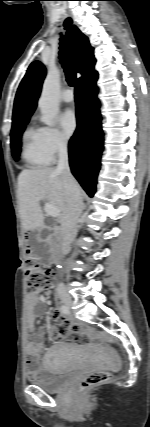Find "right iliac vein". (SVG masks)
<instances>
[{
    "mask_svg": "<svg viewBox=\"0 0 150 427\" xmlns=\"http://www.w3.org/2000/svg\"><path fill=\"white\" fill-rule=\"evenodd\" d=\"M59 297L66 307L70 308L72 306V298L66 291L59 292Z\"/></svg>",
    "mask_w": 150,
    "mask_h": 427,
    "instance_id": "obj_1",
    "label": "right iliac vein"
}]
</instances>
